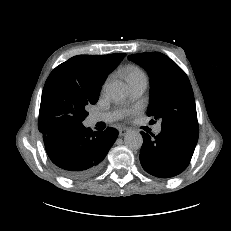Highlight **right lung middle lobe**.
<instances>
[{
  "instance_id": "right-lung-middle-lobe-1",
  "label": "right lung middle lobe",
  "mask_w": 231,
  "mask_h": 231,
  "mask_svg": "<svg viewBox=\"0 0 231 231\" xmlns=\"http://www.w3.org/2000/svg\"><path fill=\"white\" fill-rule=\"evenodd\" d=\"M100 90L101 87L78 81L70 70L57 66L43 88L39 131L81 124L88 116L87 107L97 103Z\"/></svg>"
}]
</instances>
